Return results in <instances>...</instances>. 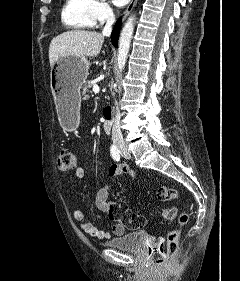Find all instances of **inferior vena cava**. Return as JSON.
I'll return each mask as SVG.
<instances>
[{
    "instance_id": "1",
    "label": "inferior vena cava",
    "mask_w": 240,
    "mask_h": 281,
    "mask_svg": "<svg viewBox=\"0 0 240 281\" xmlns=\"http://www.w3.org/2000/svg\"><path fill=\"white\" fill-rule=\"evenodd\" d=\"M115 21V16L111 12L107 18L105 27L103 28L102 35L110 36L112 31V25ZM121 113L118 107L113 109V128H112V141L116 144H123V135L120 128Z\"/></svg>"
}]
</instances>
